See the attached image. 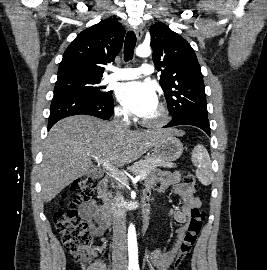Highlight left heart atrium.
I'll list each match as a JSON object with an SVG mask.
<instances>
[{"mask_svg": "<svg viewBox=\"0 0 267 270\" xmlns=\"http://www.w3.org/2000/svg\"><path fill=\"white\" fill-rule=\"evenodd\" d=\"M117 98L127 111L139 117H147L158 106L155 89L145 82L120 84L117 88Z\"/></svg>", "mask_w": 267, "mask_h": 270, "instance_id": "obj_1", "label": "left heart atrium"}]
</instances>
